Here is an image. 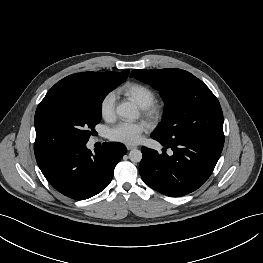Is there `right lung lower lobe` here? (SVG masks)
<instances>
[{
  "instance_id": "right-lung-lower-lobe-1",
  "label": "right lung lower lobe",
  "mask_w": 263,
  "mask_h": 263,
  "mask_svg": "<svg viewBox=\"0 0 263 263\" xmlns=\"http://www.w3.org/2000/svg\"><path fill=\"white\" fill-rule=\"evenodd\" d=\"M86 143L63 147L37 159L51 185L76 200L88 199L103 191L112 180L115 166L127 152L123 144L110 142L103 143L93 153Z\"/></svg>"
}]
</instances>
